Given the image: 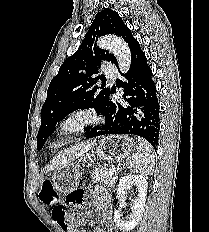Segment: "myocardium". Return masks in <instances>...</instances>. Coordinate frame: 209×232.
Instances as JSON below:
<instances>
[{
  "label": "myocardium",
  "mask_w": 209,
  "mask_h": 232,
  "mask_svg": "<svg viewBox=\"0 0 209 232\" xmlns=\"http://www.w3.org/2000/svg\"><path fill=\"white\" fill-rule=\"evenodd\" d=\"M97 116L86 110H75L65 116L58 124L61 135H76L91 128L97 123Z\"/></svg>",
  "instance_id": "f54148a6"
}]
</instances>
